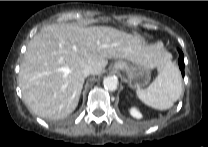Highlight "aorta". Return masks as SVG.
I'll return each mask as SVG.
<instances>
[{
  "label": "aorta",
  "instance_id": "1",
  "mask_svg": "<svg viewBox=\"0 0 208 147\" xmlns=\"http://www.w3.org/2000/svg\"><path fill=\"white\" fill-rule=\"evenodd\" d=\"M103 85L106 90L115 91L118 87V79L115 76L105 77L103 80Z\"/></svg>",
  "mask_w": 208,
  "mask_h": 147
}]
</instances>
